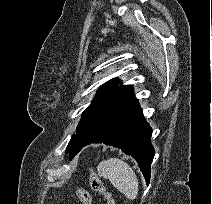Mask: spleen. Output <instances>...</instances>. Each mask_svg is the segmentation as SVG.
Instances as JSON below:
<instances>
[{"mask_svg":"<svg viewBox=\"0 0 212 204\" xmlns=\"http://www.w3.org/2000/svg\"><path fill=\"white\" fill-rule=\"evenodd\" d=\"M100 177L109 179L111 184L128 199L134 200L138 194V179L133 169L118 158L101 161L97 166Z\"/></svg>","mask_w":212,"mask_h":204,"instance_id":"spleen-1","label":"spleen"}]
</instances>
